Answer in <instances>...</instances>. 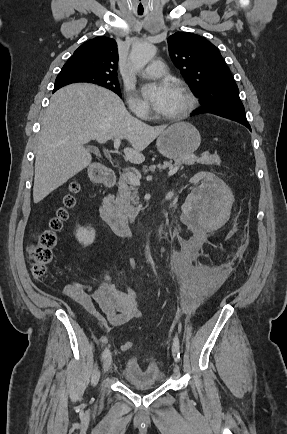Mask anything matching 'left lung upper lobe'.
<instances>
[{
	"label": "left lung upper lobe",
	"mask_w": 287,
	"mask_h": 434,
	"mask_svg": "<svg viewBox=\"0 0 287 434\" xmlns=\"http://www.w3.org/2000/svg\"><path fill=\"white\" fill-rule=\"evenodd\" d=\"M169 53L202 108L244 110L238 87L219 50L204 37L177 32L168 38Z\"/></svg>",
	"instance_id": "obj_1"
}]
</instances>
